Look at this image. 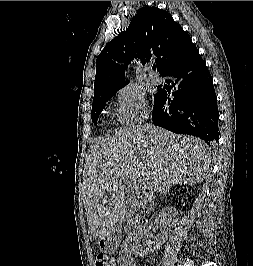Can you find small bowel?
Returning <instances> with one entry per match:
<instances>
[{"label": "small bowel", "mask_w": 253, "mask_h": 266, "mask_svg": "<svg viewBox=\"0 0 253 266\" xmlns=\"http://www.w3.org/2000/svg\"><path fill=\"white\" fill-rule=\"evenodd\" d=\"M114 263H115V266H117V264H119L120 266H125V265H128V266H137L134 262L124 263L123 262V258H121L118 263L116 261H114Z\"/></svg>", "instance_id": "obj_1"}]
</instances>
